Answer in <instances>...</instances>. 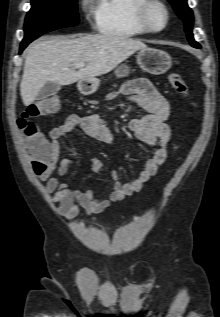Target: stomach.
I'll list each match as a JSON object with an SVG mask.
<instances>
[{"label": "stomach", "instance_id": "stomach-1", "mask_svg": "<svg viewBox=\"0 0 220 317\" xmlns=\"http://www.w3.org/2000/svg\"><path fill=\"white\" fill-rule=\"evenodd\" d=\"M137 63L142 70L153 75L163 74L172 66L171 56L160 49L144 48L137 54ZM130 69L126 64H122L115 69L117 77H125ZM100 81L97 78L80 80L77 84L79 91L83 94H92L97 91Z\"/></svg>", "mask_w": 220, "mask_h": 317}]
</instances>
